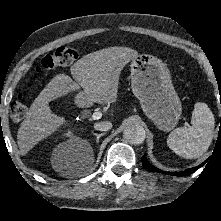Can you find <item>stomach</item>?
<instances>
[{
    "mask_svg": "<svg viewBox=\"0 0 221 221\" xmlns=\"http://www.w3.org/2000/svg\"><path fill=\"white\" fill-rule=\"evenodd\" d=\"M130 67L132 91L143 112L159 129L172 130L181 117L182 105L166 64L153 55L141 54Z\"/></svg>",
    "mask_w": 221,
    "mask_h": 221,
    "instance_id": "1",
    "label": "stomach"
}]
</instances>
